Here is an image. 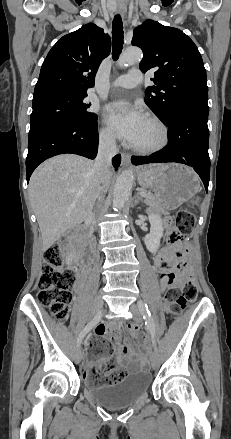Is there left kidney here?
<instances>
[{
	"instance_id": "5707ae66",
	"label": "left kidney",
	"mask_w": 231,
	"mask_h": 439,
	"mask_svg": "<svg viewBox=\"0 0 231 439\" xmlns=\"http://www.w3.org/2000/svg\"><path fill=\"white\" fill-rule=\"evenodd\" d=\"M149 221L151 224L150 233L144 238L147 249L155 253L160 246V239L163 236L162 219L157 214H150Z\"/></svg>"
}]
</instances>
